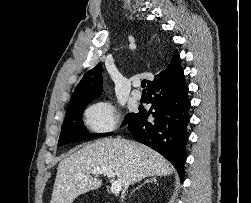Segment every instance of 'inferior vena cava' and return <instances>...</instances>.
<instances>
[{"label": "inferior vena cava", "instance_id": "obj_1", "mask_svg": "<svg viewBox=\"0 0 251 203\" xmlns=\"http://www.w3.org/2000/svg\"><path fill=\"white\" fill-rule=\"evenodd\" d=\"M127 187H128V185H127ZM127 187L125 188V190L127 189ZM124 196H125V191H123V193H122V198H124Z\"/></svg>", "mask_w": 251, "mask_h": 203}]
</instances>
